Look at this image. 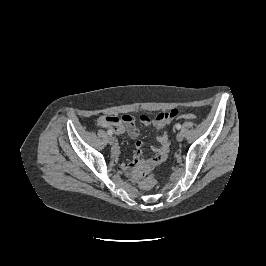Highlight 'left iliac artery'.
I'll return each instance as SVG.
<instances>
[{"instance_id":"obj_1","label":"left iliac artery","mask_w":266,"mask_h":266,"mask_svg":"<svg viewBox=\"0 0 266 266\" xmlns=\"http://www.w3.org/2000/svg\"><path fill=\"white\" fill-rule=\"evenodd\" d=\"M175 127H176V129H178V130L181 129V125H180L179 123L176 124Z\"/></svg>"}]
</instances>
